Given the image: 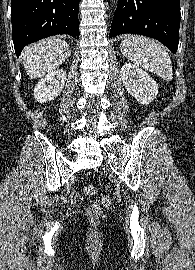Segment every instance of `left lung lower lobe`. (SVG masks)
I'll use <instances>...</instances> for the list:
<instances>
[{
	"label": "left lung lower lobe",
	"mask_w": 195,
	"mask_h": 270,
	"mask_svg": "<svg viewBox=\"0 0 195 270\" xmlns=\"http://www.w3.org/2000/svg\"><path fill=\"white\" fill-rule=\"evenodd\" d=\"M179 0H119L109 37L133 33L157 39L172 52L179 43Z\"/></svg>",
	"instance_id": "0a47b994"
}]
</instances>
